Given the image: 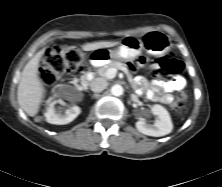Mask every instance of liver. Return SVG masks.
<instances>
[{"label":"liver","instance_id":"obj_1","mask_svg":"<svg viewBox=\"0 0 222 187\" xmlns=\"http://www.w3.org/2000/svg\"><path fill=\"white\" fill-rule=\"evenodd\" d=\"M119 42L102 41L82 45L84 51H92L100 48H109ZM45 49L40 50L26 64L22 71L18 85L17 98L20 107L31 117L37 115L44 96V88L38 77V65Z\"/></svg>","mask_w":222,"mask_h":187}]
</instances>
